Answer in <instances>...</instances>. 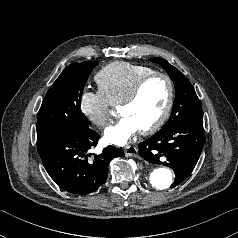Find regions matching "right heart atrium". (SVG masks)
Instances as JSON below:
<instances>
[{"mask_svg":"<svg viewBox=\"0 0 238 238\" xmlns=\"http://www.w3.org/2000/svg\"><path fill=\"white\" fill-rule=\"evenodd\" d=\"M80 107L83 114L100 128L109 125L113 119L112 104L99 89L84 91Z\"/></svg>","mask_w":238,"mask_h":238,"instance_id":"d8ad5b80","label":"right heart atrium"}]
</instances>
